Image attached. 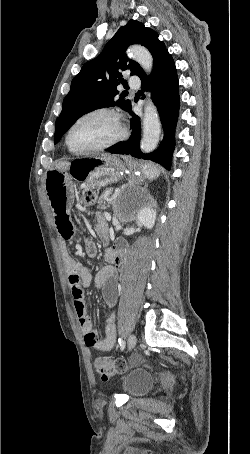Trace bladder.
I'll return each mask as SVG.
<instances>
[{"mask_svg":"<svg viewBox=\"0 0 250 454\" xmlns=\"http://www.w3.org/2000/svg\"><path fill=\"white\" fill-rule=\"evenodd\" d=\"M153 385L152 375L143 369H135L121 381L122 390L130 397H139L150 391Z\"/></svg>","mask_w":250,"mask_h":454,"instance_id":"bladder-1","label":"bladder"}]
</instances>
